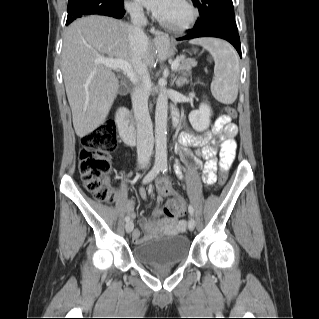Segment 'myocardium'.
<instances>
[{"mask_svg":"<svg viewBox=\"0 0 319 319\" xmlns=\"http://www.w3.org/2000/svg\"><path fill=\"white\" fill-rule=\"evenodd\" d=\"M180 1L187 10L186 17L180 21H168L161 17H158L157 22L159 23V25L175 32H182L191 27V25L195 22V20L198 17V10L191 2V0Z\"/></svg>","mask_w":319,"mask_h":319,"instance_id":"1","label":"myocardium"}]
</instances>
